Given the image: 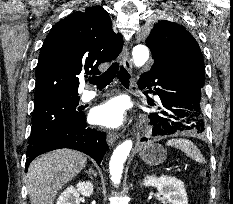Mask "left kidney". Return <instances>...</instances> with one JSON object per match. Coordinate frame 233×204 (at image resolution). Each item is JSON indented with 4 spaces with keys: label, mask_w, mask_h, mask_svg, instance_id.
I'll return each instance as SVG.
<instances>
[{
    "label": "left kidney",
    "mask_w": 233,
    "mask_h": 204,
    "mask_svg": "<svg viewBox=\"0 0 233 204\" xmlns=\"http://www.w3.org/2000/svg\"><path fill=\"white\" fill-rule=\"evenodd\" d=\"M146 187H156L162 195V202L165 204H188L187 193L183 182L176 177L146 176L143 180Z\"/></svg>",
    "instance_id": "1"
}]
</instances>
